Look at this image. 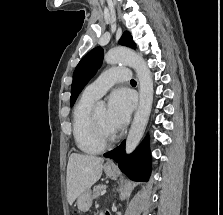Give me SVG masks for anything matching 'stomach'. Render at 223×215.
I'll use <instances>...</instances> for the list:
<instances>
[{
    "instance_id": "0dacf381",
    "label": "stomach",
    "mask_w": 223,
    "mask_h": 215,
    "mask_svg": "<svg viewBox=\"0 0 223 215\" xmlns=\"http://www.w3.org/2000/svg\"><path fill=\"white\" fill-rule=\"evenodd\" d=\"M103 169L108 177H111V179H116L117 167H113V165H107V163H105ZM91 203L92 200H90L89 194H87V191H84V193H81L77 199L76 209H81V211H88Z\"/></svg>"
}]
</instances>
